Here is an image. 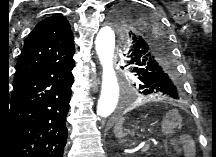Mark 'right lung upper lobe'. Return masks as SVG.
Listing matches in <instances>:
<instances>
[{
  "instance_id": "obj_1",
  "label": "right lung upper lobe",
  "mask_w": 216,
  "mask_h": 157,
  "mask_svg": "<svg viewBox=\"0 0 216 157\" xmlns=\"http://www.w3.org/2000/svg\"><path fill=\"white\" fill-rule=\"evenodd\" d=\"M73 42L70 24L61 14L39 22L24 43L14 84L51 63L73 57Z\"/></svg>"
}]
</instances>
